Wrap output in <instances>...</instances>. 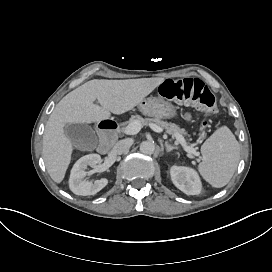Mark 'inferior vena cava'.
Wrapping results in <instances>:
<instances>
[{
	"label": "inferior vena cava",
	"mask_w": 272,
	"mask_h": 272,
	"mask_svg": "<svg viewBox=\"0 0 272 272\" xmlns=\"http://www.w3.org/2000/svg\"><path fill=\"white\" fill-rule=\"evenodd\" d=\"M130 148V144L126 140L118 141L115 146L113 147V151L116 154H123L126 153Z\"/></svg>",
	"instance_id": "inferior-vena-cava-1"
}]
</instances>
